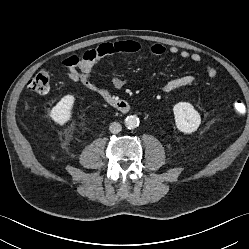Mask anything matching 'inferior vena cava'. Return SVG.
Returning a JSON list of instances; mask_svg holds the SVG:
<instances>
[{
	"label": "inferior vena cava",
	"instance_id": "obj_1",
	"mask_svg": "<svg viewBox=\"0 0 249 249\" xmlns=\"http://www.w3.org/2000/svg\"><path fill=\"white\" fill-rule=\"evenodd\" d=\"M122 129V126L118 122H112L109 126V130L111 133H119Z\"/></svg>",
	"mask_w": 249,
	"mask_h": 249
}]
</instances>
